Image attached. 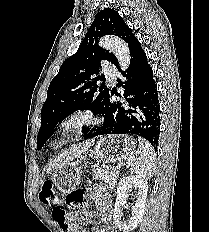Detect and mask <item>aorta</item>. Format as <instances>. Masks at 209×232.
<instances>
[{"mask_svg": "<svg viewBox=\"0 0 209 232\" xmlns=\"http://www.w3.org/2000/svg\"><path fill=\"white\" fill-rule=\"evenodd\" d=\"M99 45L112 52L118 59L121 69L125 70L130 64V50L128 45L120 38L105 36L101 38Z\"/></svg>", "mask_w": 209, "mask_h": 232, "instance_id": "obj_1", "label": "aorta"}]
</instances>
